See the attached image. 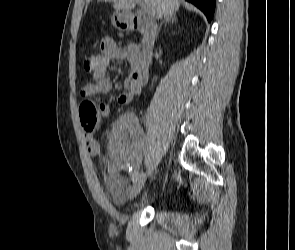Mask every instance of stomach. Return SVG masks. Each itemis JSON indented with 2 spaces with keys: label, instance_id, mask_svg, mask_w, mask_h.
<instances>
[{
  "label": "stomach",
  "instance_id": "stomach-1",
  "mask_svg": "<svg viewBox=\"0 0 295 250\" xmlns=\"http://www.w3.org/2000/svg\"><path fill=\"white\" fill-rule=\"evenodd\" d=\"M112 24L118 29H123L126 27V23L124 22L123 16L120 13H115L113 15Z\"/></svg>",
  "mask_w": 295,
  "mask_h": 250
}]
</instances>
